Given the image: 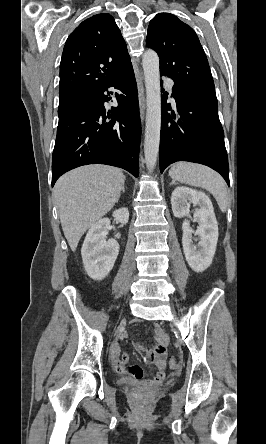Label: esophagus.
I'll list each match as a JSON object with an SVG mask.
<instances>
[{
  "label": "esophagus",
  "instance_id": "1",
  "mask_svg": "<svg viewBox=\"0 0 266 444\" xmlns=\"http://www.w3.org/2000/svg\"><path fill=\"white\" fill-rule=\"evenodd\" d=\"M138 100H139V112L141 120H144V114H145V95H144V88L141 82L138 83Z\"/></svg>",
  "mask_w": 266,
  "mask_h": 444
}]
</instances>
